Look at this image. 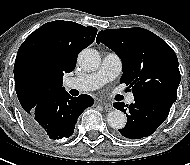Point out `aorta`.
I'll use <instances>...</instances> for the list:
<instances>
[{"mask_svg":"<svg viewBox=\"0 0 190 165\" xmlns=\"http://www.w3.org/2000/svg\"><path fill=\"white\" fill-rule=\"evenodd\" d=\"M101 62L99 53L94 49H84L78 55V64L86 71H95ZM107 122L113 129H122L126 122V116L122 111L113 110L107 115Z\"/></svg>","mask_w":190,"mask_h":165,"instance_id":"1","label":"aorta"}]
</instances>
